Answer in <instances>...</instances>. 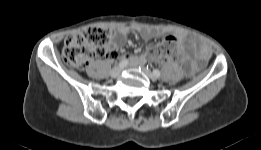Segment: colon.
Segmentation results:
<instances>
[{"instance_id": "1", "label": "colon", "mask_w": 261, "mask_h": 150, "mask_svg": "<svg viewBox=\"0 0 261 150\" xmlns=\"http://www.w3.org/2000/svg\"><path fill=\"white\" fill-rule=\"evenodd\" d=\"M113 33L109 29L88 27L70 34L64 42L62 60L69 67L87 68L97 57H105ZM150 57L157 61L184 60L185 55L174 37L160 39L150 50Z\"/></svg>"}]
</instances>
